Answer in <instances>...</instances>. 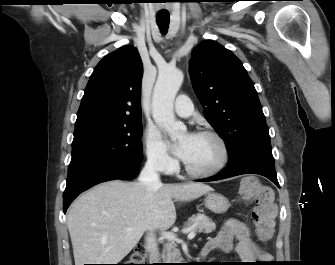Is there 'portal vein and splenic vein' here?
Returning <instances> with one entry per match:
<instances>
[{
    "label": "portal vein and splenic vein",
    "mask_w": 335,
    "mask_h": 265,
    "mask_svg": "<svg viewBox=\"0 0 335 265\" xmlns=\"http://www.w3.org/2000/svg\"><path fill=\"white\" fill-rule=\"evenodd\" d=\"M132 229H127V231H131ZM162 235L164 236V237H166L169 241H175L176 240V236L173 234V233H171V232H162ZM196 236V232L195 231H191V232H189V234H188V236H187V238L189 239V240H191V239H193L194 237Z\"/></svg>",
    "instance_id": "1"
}]
</instances>
